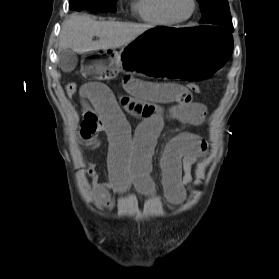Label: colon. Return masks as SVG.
<instances>
[{
  "mask_svg": "<svg viewBox=\"0 0 279 279\" xmlns=\"http://www.w3.org/2000/svg\"><path fill=\"white\" fill-rule=\"evenodd\" d=\"M65 89H66V93H67L68 97H73V96L79 94V91H80L79 86L76 83H68L66 85ZM185 89H186V92L191 96L193 94L200 92L199 85H197L195 83L188 84L185 87Z\"/></svg>",
  "mask_w": 279,
  "mask_h": 279,
  "instance_id": "1",
  "label": "colon"
}]
</instances>
